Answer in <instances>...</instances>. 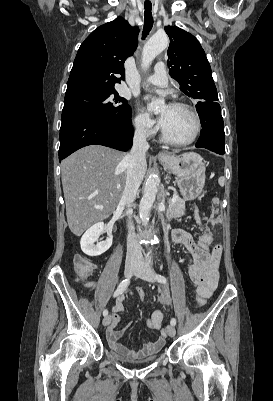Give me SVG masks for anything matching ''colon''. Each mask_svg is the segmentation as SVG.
I'll return each mask as SVG.
<instances>
[{
    "instance_id": "5ec220e1",
    "label": "colon",
    "mask_w": 273,
    "mask_h": 401,
    "mask_svg": "<svg viewBox=\"0 0 273 401\" xmlns=\"http://www.w3.org/2000/svg\"><path fill=\"white\" fill-rule=\"evenodd\" d=\"M214 203H217V200H213ZM75 265L74 273L76 276H79V280H84V276H90L93 273V270L96 268V263L94 261H89L87 257H76L73 260ZM190 281L192 282H205L207 276L205 273H192L189 276ZM137 299L140 303H143L146 300V292L143 288L142 284L137 285Z\"/></svg>"
}]
</instances>
